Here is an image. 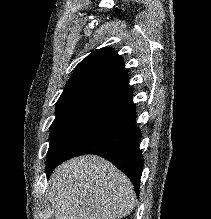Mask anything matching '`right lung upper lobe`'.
Instances as JSON below:
<instances>
[{
	"instance_id": "cb5924a9",
	"label": "right lung upper lobe",
	"mask_w": 211,
	"mask_h": 219,
	"mask_svg": "<svg viewBox=\"0 0 211 219\" xmlns=\"http://www.w3.org/2000/svg\"><path fill=\"white\" fill-rule=\"evenodd\" d=\"M123 59L112 48L90 53L75 68L58 103L95 99L121 107L132 100Z\"/></svg>"
}]
</instances>
